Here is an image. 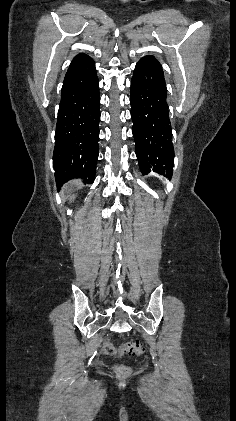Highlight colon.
<instances>
[{"label":"colon","mask_w":236,"mask_h":421,"mask_svg":"<svg viewBox=\"0 0 236 421\" xmlns=\"http://www.w3.org/2000/svg\"><path fill=\"white\" fill-rule=\"evenodd\" d=\"M104 353L109 358H115L117 356L124 355L126 353L140 356L145 351V346L140 342H125L121 344L120 348L117 350L110 341L104 343ZM114 371L119 377H126L130 375L131 368L125 365H116Z\"/></svg>","instance_id":"obj_1"}]
</instances>
